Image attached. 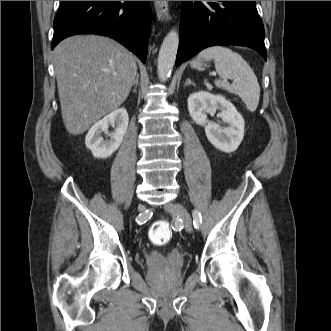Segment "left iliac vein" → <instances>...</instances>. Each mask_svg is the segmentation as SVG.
I'll return each mask as SVG.
<instances>
[{
  "instance_id": "4c4485c4",
  "label": "left iliac vein",
  "mask_w": 331,
  "mask_h": 331,
  "mask_svg": "<svg viewBox=\"0 0 331 331\" xmlns=\"http://www.w3.org/2000/svg\"><path fill=\"white\" fill-rule=\"evenodd\" d=\"M165 209L183 221L185 230L187 232H191L193 230L191 215L182 204L170 202L165 204Z\"/></svg>"
}]
</instances>
